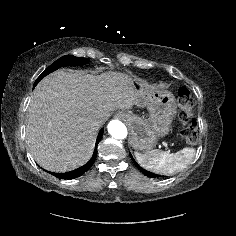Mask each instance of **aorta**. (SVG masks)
Segmentation results:
<instances>
[{"label":"aorta","mask_w":236,"mask_h":236,"mask_svg":"<svg viewBox=\"0 0 236 236\" xmlns=\"http://www.w3.org/2000/svg\"><path fill=\"white\" fill-rule=\"evenodd\" d=\"M107 129L108 133L115 139H124L127 136V128L124 123L119 120L110 121Z\"/></svg>","instance_id":"762f6f07"}]
</instances>
